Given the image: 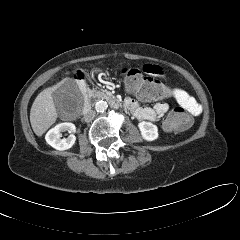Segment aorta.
I'll list each match as a JSON object with an SVG mask.
<instances>
[{"label": "aorta", "mask_w": 240, "mask_h": 240, "mask_svg": "<svg viewBox=\"0 0 240 240\" xmlns=\"http://www.w3.org/2000/svg\"><path fill=\"white\" fill-rule=\"evenodd\" d=\"M108 108V103L106 101L100 100L95 104V110L98 113H103Z\"/></svg>", "instance_id": "obj_1"}]
</instances>
